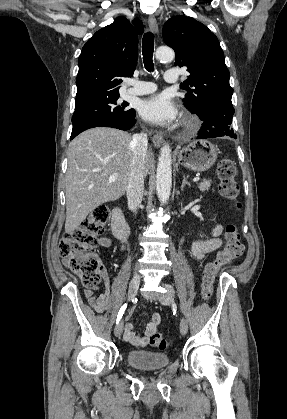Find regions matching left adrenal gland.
<instances>
[{
  "label": "left adrenal gland",
  "instance_id": "1",
  "mask_svg": "<svg viewBox=\"0 0 287 419\" xmlns=\"http://www.w3.org/2000/svg\"><path fill=\"white\" fill-rule=\"evenodd\" d=\"M185 185L190 186V183L187 181L186 177L183 176V182H182V185H181V190H183V188L185 187Z\"/></svg>",
  "mask_w": 287,
  "mask_h": 419
}]
</instances>
